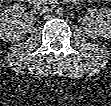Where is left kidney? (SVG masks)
I'll use <instances>...</instances> for the list:
<instances>
[{
	"mask_svg": "<svg viewBox=\"0 0 111 106\" xmlns=\"http://www.w3.org/2000/svg\"><path fill=\"white\" fill-rule=\"evenodd\" d=\"M92 38L108 39L111 37V10L101 8L96 22L91 21L85 28Z\"/></svg>",
	"mask_w": 111,
	"mask_h": 106,
	"instance_id": "left-kidney-1",
	"label": "left kidney"
}]
</instances>
